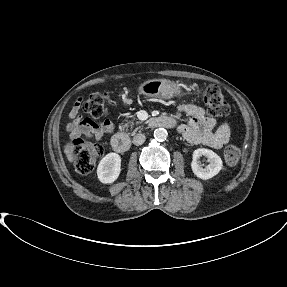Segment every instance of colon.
Here are the masks:
<instances>
[{
    "mask_svg": "<svg viewBox=\"0 0 287 287\" xmlns=\"http://www.w3.org/2000/svg\"><path fill=\"white\" fill-rule=\"evenodd\" d=\"M204 103L209 115L214 117L226 116L230 107L217 86L210 85L204 92ZM79 106L93 118H101L108 113V96L104 92H96L80 101ZM76 170L80 174L90 173L99 157L103 154V147L79 137L70 141ZM241 150L236 145H228L224 149V159L229 165L238 163Z\"/></svg>",
    "mask_w": 287,
    "mask_h": 287,
    "instance_id": "colon-1",
    "label": "colon"
}]
</instances>
